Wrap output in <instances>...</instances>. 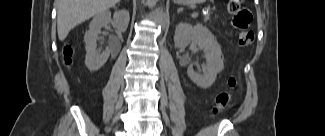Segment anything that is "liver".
Here are the masks:
<instances>
[{
	"label": "liver",
	"mask_w": 325,
	"mask_h": 136,
	"mask_svg": "<svg viewBox=\"0 0 325 136\" xmlns=\"http://www.w3.org/2000/svg\"><path fill=\"white\" fill-rule=\"evenodd\" d=\"M120 0H55L58 38L63 41L69 32L94 15L104 12Z\"/></svg>",
	"instance_id": "1"
}]
</instances>
